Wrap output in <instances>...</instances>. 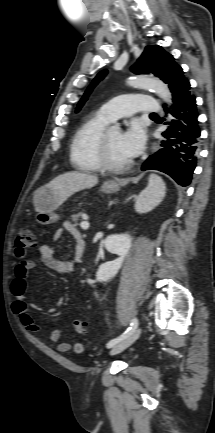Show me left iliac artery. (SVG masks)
<instances>
[{
  "mask_svg": "<svg viewBox=\"0 0 215 433\" xmlns=\"http://www.w3.org/2000/svg\"><path fill=\"white\" fill-rule=\"evenodd\" d=\"M138 326V320L137 318H134L130 324V326L128 327V329L119 337L111 340L110 342L107 343V348H112L114 347L117 343L121 342L122 340L126 339Z\"/></svg>",
  "mask_w": 215,
  "mask_h": 433,
  "instance_id": "44dca946",
  "label": "left iliac artery"
}]
</instances>
